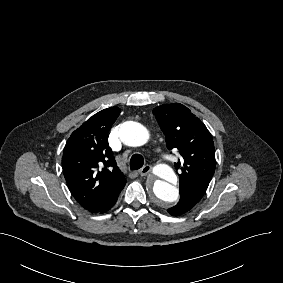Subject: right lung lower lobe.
I'll list each match as a JSON object with an SVG mask.
<instances>
[{
	"label": "right lung lower lobe",
	"instance_id": "1",
	"mask_svg": "<svg viewBox=\"0 0 283 283\" xmlns=\"http://www.w3.org/2000/svg\"><path fill=\"white\" fill-rule=\"evenodd\" d=\"M120 194V193H119ZM118 194V195H119ZM118 195L115 196L114 199L111 200V202L106 206L104 207L103 209H101L100 211H97V212H92V213H99V214H103L105 212H107L108 210H110L112 208V206L116 203L117 199H118Z\"/></svg>",
	"mask_w": 283,
	"mask_h": 283
}]
</instances>
